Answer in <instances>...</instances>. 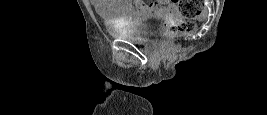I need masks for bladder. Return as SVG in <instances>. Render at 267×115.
I'll return each mask as SVG.
<instances>
[{
    "instance_id": "bladder-1",
    "label": "bladder",
    "mask_w": 267,
    "mask_h": 115,
    "mask_svg": "<svg viewBox=\"0 0 267 115\" xmlns=\"http://www.w3.org/2000/svg\"><path fill=\"white\" fill-rule=\"evenodd\" d=\"M163 19L162 15L147 13L133 23L126 25H112L110 33L121 39L143 42L151 39L156 33V25Z\"/></svg>"
}]
</instances>
